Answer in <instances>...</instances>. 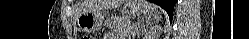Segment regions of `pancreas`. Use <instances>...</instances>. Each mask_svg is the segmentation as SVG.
<instances>
[{"mask_svg": "<svg viewBox=\"0 0 249 39\" xmlns=\"http://www.w3.org/2000/svg\"><path fill=\"white\" fill-rule=\"evenodd\" d=\"M105 26L120 36L121 39H126L132 30L129 19L125 16L109 18L106 20Z\"/></svg>", "mask_w": 249, "mask_h": 39, "instance_id": "pancreas-1", "label": "pancreas"}]
</instances>
